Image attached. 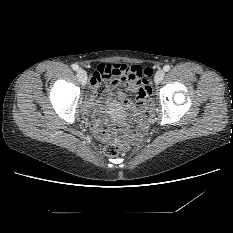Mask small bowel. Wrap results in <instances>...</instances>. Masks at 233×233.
Here are the masks:
<instances>
[{"instance_id":"obj_1","label":"small bowel","mask_w":233,"mask_h":233,"mask_svg":"<svg viewBox=\"0 0 233 233\" xmlns=\"http://www.w3.org/2000/svg\"><path fill=\"white\" fill-rule=\"evenodd\" d=\"M145 69L139 65H125L122 63L100 62L91 79V86L86 101V109L93 117L90 130L102 144L108 142H139L146 132L145 117L146 100H130L117 85L123 84L131 92H138L139 87L149 85V78ZM128 74L137 78L139 85L132 83ZM106 84L102 98L98 99V88ZM134 121L137 127L127 125V133L119 136L105 129L103 124L111 122Z\"/></svg>"}]
</instances>
